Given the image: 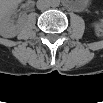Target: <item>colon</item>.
<instances>
[{
	"label": "colon",
	"instance_id": "colon-1",
	"mask_svg": "<svg viewBox=\"0 0 103 103\" xmlns=\"http://www.w3.org/2000/svg\"><path fill=\"white\" fill-rule=\"evenodd\" d=\"M96 35L100 36L102 33L101 27L98 25L95 30Z\"/></svg>",
	"mask_w": 103,
	"mask_h": 103
}]
</instances>
